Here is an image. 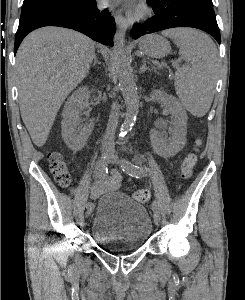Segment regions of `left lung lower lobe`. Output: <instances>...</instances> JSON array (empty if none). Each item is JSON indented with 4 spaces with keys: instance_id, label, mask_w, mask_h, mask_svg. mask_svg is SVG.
<instances>
[{
    "instance_id": "left-lung-lower-lobe-1",
    "label": "left lung lower lobe",
    "mask_w": 245,
    "mask_h": 300,
    "mask_svg": "<svg viewBox=\"0 0 245 300\" xmlns=\"http://www.w3.org/2000/svg\"><path fill=\"white\" fill-rule=\"evenodd\" d=\"M155 15L136 24L131 35L140 36L174 27H192L212 35L220 43V32L213 6L195 0H148Z\"/></svg>"
}]
</instances>
